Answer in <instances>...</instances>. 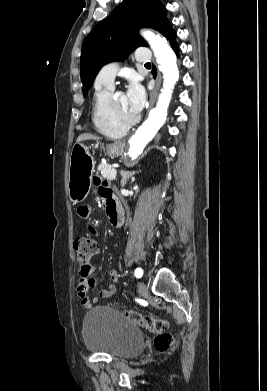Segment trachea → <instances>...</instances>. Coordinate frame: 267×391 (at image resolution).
Wrapping results in <instances>:
<instances>
[{"label":"trachea","instance_id":"obj_1","mask_svg":"<svg viewBox=\"0 0 267 391\" xmlns=\"http://www.w3.org/2000/svg\"><path fill=\"white\" fill-rule=\"evenodd\" d=\"M145 66H150V63L148 62V63H145Z\"/></svg>","mask_w":267,"mask_h":391}]
</instances>
